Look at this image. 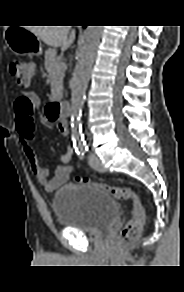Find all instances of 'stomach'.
Masks as SVG:
<instances>
[{
    "mask_svg": "<svg viewBox=\"0 0 184 292\" xmlns=\"http://www.w3.org/2000/svg\"><path fill=\"white\" fill-rule=\"evenodd\" d=\"M5 40L9 49L16 55L42 54V44L38 37L24 27L10 26L5 32Z\"/></svg>",
    "mask_w": 184,
    "mask_h": 292,
    "instance_id": "1",
    "label": "stomach"
}]
</instances>
